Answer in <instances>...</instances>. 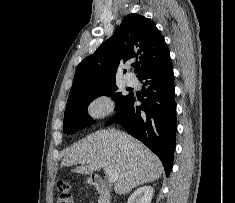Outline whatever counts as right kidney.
<instances>
[{"label": "right kidney", "mask_w": 235, "mask_h": 203, "mask_svg": "<svg viewBox=\"0 0 235 203\" xmlns=\"http://www.w3.org/2000/svg\"><path fill=\"white\" fill-rule=\"evenodd\" d=\"M154 188L143 186L138 188L128 199L127 203H151Z\"/></svg>", "instance_id": "1"}]
</instances>
